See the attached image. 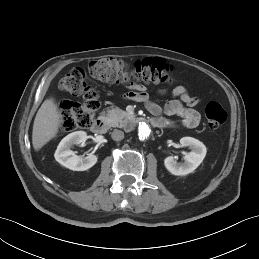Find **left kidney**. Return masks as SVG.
I'll use <instances>...</instances> for the list:
<instances>
[{
  "label": "left kidney",
  "instance_id": "left-kidney-1",
  "mask_svg": "<svg viewBox=\"0 0 259 259\" xmlns=\"http://www.w3.org/2000/svg\"><path fill=\"white\" fill-rule=\"evenodd\" d=\"M182 147H189L191 151L184 156V163H178L174 157L169 156L164 160L166 169L173 175L181 176L193 172L204 160L206 147L199 140L193 137L180 139Z\"/></svg>",
  "mask_w": 259,
  "mask_h": 259
}]
</instances>
